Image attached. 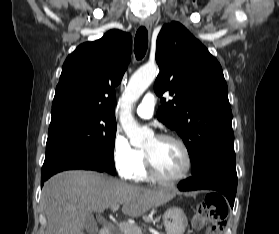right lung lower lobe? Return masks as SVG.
<instances>
[{
	"label": "right lung lower lobe",
	"mask_w": 279,
	"mask_h": 234,
	"mask_svg": "<svg viewBox=\"0 0 279 234\" xmlns=\"http://www.w3.org/2000/svg\"><path fill=\"white\" fill-rule=\"evenodd\" d=\"M69 169H87L99 172L105 171L104 167L89 156L74 151L60 153L49 160H45L41 170V185L52 175Z\"/></svg>",
	"instance_id": "1"
}]
</instances>
